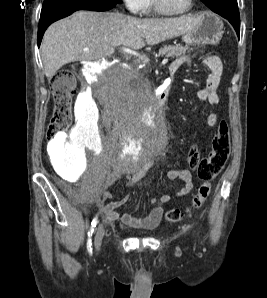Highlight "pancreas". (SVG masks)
<instances>
[{
	"instance_id": "1",
	"label": "pancreas",
	"mask_w": 267,
	"mask_h": 298,
	"mask_svg": "<svg viewBox=\"0 0 267 298\" xmlns=\"http://www.w3.org/2000/svg\"><path fill=\"white\" fill-rule=\"evenodd\" d=\"M189 50V47L164 45L159 50V55H166L167 57H179Z\"/></svg>"
}]
</instances>
